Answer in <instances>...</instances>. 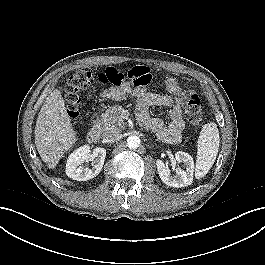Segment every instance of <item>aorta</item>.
<instances>
[{
	"label": "aorta",
	"mask_w": 265,
	"mask_h": 265,
	"mask_svg": "<svg viewBox=\"0 0 265 265\" xmlns=\"http://www.w3.org/2000/svg\"><path fill=\"white\" fill-rule=\"evenodd\" d=\"M140 138L138 136H129L127 138V146L130 148V149H137L139 146H140Z\"/></svg>",
	"instance_id": "1"
}]
</instances>
